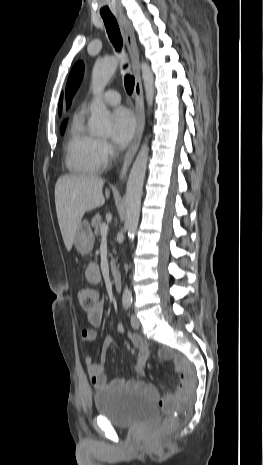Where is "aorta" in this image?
Returning <instances> with one entry per match:
<instances>
[{
  "instance_id": "obj_1",
  "label": "aorta",
  "mask_w": 263,
  "mask_h": 465,
  "mask_svg": "<svg viewBox=\"0 0 263 465\" xmlns=\"http://www.w3.org/2000/svg\"><path fill=\"white\" fill-rule=\"evenodd\" d=\"M118 65L119 58L112 56L97 61L93 67L92 91L94 101L91 105L89 126L95 134H108L112 130L110 112L102 102L101 94L115 73ZM140 67L142 71L146 101L150 108L153 105L155 93L154 76L148 63H141ZM148 153L149 147L146 139L133 163L127 182L125 195L126 224L128 229V239L130 242H133L138 228L142 189L148 163ZM122 300L127 303L132 301L131 293L127 288L124 289Z\"/></svg>"
}]
</instances>
